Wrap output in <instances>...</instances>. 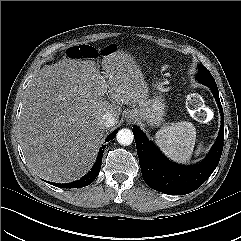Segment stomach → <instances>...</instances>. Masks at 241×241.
<instances>
[{
    "label": "stomach",
    "instance_id": "stomach-1",
    "mask_svg": "<svg viewBox=\"0 0 241 241\" xmlns=\"http://www.w3.org/2000/svg\"><path fill=\"white\" fill-rule=\"evenodd\" d=\"M164 90L163 84L157 83L153 96L129 111L128 118L136 116L138 119L146 121L150 126H159L163 122L166 112L164 98L161 95Z\"/></svg>",
    "mask_w": 241,
    "mask_h": 241
}]
</instances>
